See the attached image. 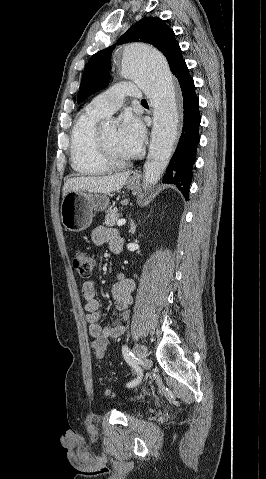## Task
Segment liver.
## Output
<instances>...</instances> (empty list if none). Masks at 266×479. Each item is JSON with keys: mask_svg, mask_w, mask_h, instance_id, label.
Instances as JSON below:
<instances>
[{"mask_svg": "<svg viewBox=\"0 0 266 479\" xmlns=\"http://www.w3.org/2000/svg\"><path fill=\"white\" fill-rule=\"evenodd\" d=\"M130 172L100 177H72L63 186V197L68 192L104 193L119 191L125 185Z\"/></svg>", "mask_w": 266, "mask_h": 479, "instance_id": "obj_1", "label": "liver"}]
</instances>
